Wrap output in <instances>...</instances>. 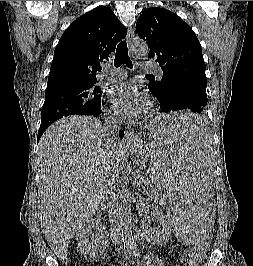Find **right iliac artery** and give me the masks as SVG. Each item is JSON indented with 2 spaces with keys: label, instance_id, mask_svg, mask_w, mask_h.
I'll return each instance as SVG.
<instances>
[{
  "label": "right iliac artery",
  "instance_id": "right-iliac-artery-1",
  "mask_svg": "<svg viewBox=\"0 0 253 266\" xmlns=\"http://www.w3.org/2000/svg\"><path fill=\"white\" fill-rule=\"evenodd\" d=\"M124 252H125L124 258H125V261H127L131 256V248L125 247Z\"/></svg>",
  "mask_w": 253,
  "mask_h": 266
}]
</instances>
